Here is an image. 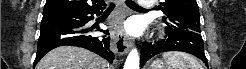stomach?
I'll use <instances>...</instances> for the list:
<instances>
[{"mask_svg": "<svg viewBox=\"0 0 246 69\" xmlns=\"http://www.w3.org/2000/svg\"><path fill=\"white\" fill-rule=\"evenodd\" d=\"M165 67L166 65L164 61L159 59L153 61V63L151 64V69H166Z\"/></svg>", "mask_w": 246, "mask_h": 69, "instance_id": "obj_1", "label": "stomach"}]
</instances>
